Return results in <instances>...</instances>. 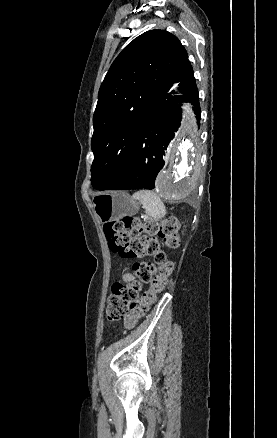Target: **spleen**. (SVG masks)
Wrapping results in <instances>:
<instances>
[{
	"label": "spleen",
	"mask_w": 277,
	"mask_h": 438,
	"mask_svg": "<svg viewBox=\"0 0 277 438\" xmlns=\"http://www.w3.org/2000/svg\"><path fill=\"white\" fill-rule=\"evenodd\" d=\"M133 198L143 204L142 208H144L146 214L151 216V218H164V216H166L165 206L161 198H159L155 192L140 190V192L133 194Z\"/></svg>",
	"instance_id": "1"
}]
</instances>
